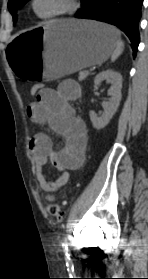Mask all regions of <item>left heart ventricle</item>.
Returning <instances> with one entry per match:
<instances>
[{"label":"left heart ventricle","instance_id":"left-heart-ventricle-1","mask_svg":"<svg viewBox=\"0 0 148 279\" xmlns=\"http://www.w3.org/2000/svg\"><path fill=\"white\" fill-rule=\"evenodd\" d=\"M65 6V0H37L36 9L40 14H47Z\"/></svg>","mask_w":148,"mask_h":279}]
</instances>
